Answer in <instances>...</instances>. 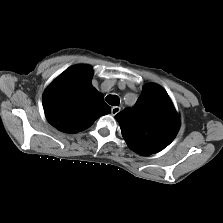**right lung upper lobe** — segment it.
Segmentation results:
<instances>
[{"instance_id": "right-lung-upper-lobe-1", "label": "right lung upper lobe", "mask_w": 223, "mask_h": 223, "mask_svg": "<svg viewBox=\"0 0 223 223\" xmlns=\"http://www.w3.org/2000/svg\"><path fill=\"white\" fill-rule=\"evenodd\" d=\"M92 69L76 65L58 76L43 95V108L50 124L66 133H77L111 112L103 96L91 85Z\"/></svg>"}]
</instances>
